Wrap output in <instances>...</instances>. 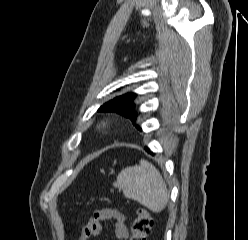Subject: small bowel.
I'll return each mask as SVG.
<instances>
[{"instance_id":"1","label":"small bowel","mask_w":248,"mask_h":240,"mask_svg":"<svg viewBox=\"0 0 248 240\" xmlns=\"http://www.w3.org/2000/svg\"><path fill=\"white\" fill-rule=\"evenodd\" d=\"M113 222L114 232L119 240H127L129 237L126 226L127 218L118 208L105 207L96 210L89 221L82 227L76 240H90L91 237L99 236L103 232L101 221Z\"/></svg>"}]
</instances>
